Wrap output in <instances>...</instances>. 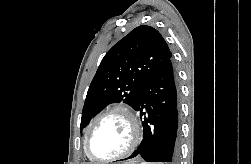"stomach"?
<instances>
[{
	"mask_svg": "<svg viewBox=\"0 0 251 164\" xmlns=\"http://www.w3.org/2000/svg\"><path fill=\"white\" fill-rule=\"evenodd\" d=\"M118 164H125V163H118ZM132 164H143V163H138L137 161H135V163Z\"/></svg>",
	"mask_w": 251,
	"mask_h": 164,
	"instance_id": "1",
	"label": "stomach"
}]
</instances>
